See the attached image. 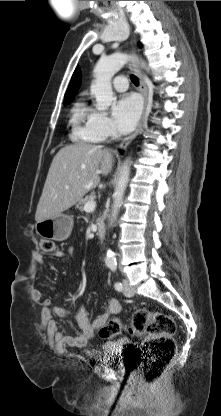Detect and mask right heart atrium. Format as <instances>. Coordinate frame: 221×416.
<instances>
[{
  "label": "right heart atrium",
  "mask_w": 221,
  "mask_h": 416,
  "mask_svg": "<svg viewBox=\"0 0 221 416\" xmlns=\"http://www.w3.org/2000/svg\"><path fill=\"white\" fill-rule=\"evenodd\" d=\"M85 125L97 141H104L117 134L113 121L105 113L96 109H89Z\"/></svg>",
  "instance_id": "1"
}]
</instances>
